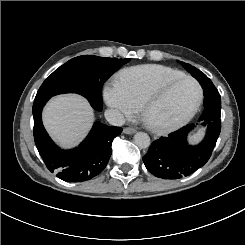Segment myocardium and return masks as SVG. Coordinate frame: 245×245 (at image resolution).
I'll return each instance as SVG.
<instances>
[{
    "label": "myocardium",
    "mask_w": 245,
    "mask_h": 245,
    "mask_svg": "<svg viewBox=\"0 0 245 245\" xmlns=\"http://www.w3.org/2000/svg\"><path fill=\"white\" fill-rule=\"evenodd\" d=\"M183 80L191 82L196 87L197 94L193 106L189 109V111L186 114H184L180 118L160 120V121L153 120L150 115L151 114L150 99L152 95L164 86H169L178 81H183ZM202 98H203V90L199 82L193 77L187 75H181L178 77L158 79L152 82L143 92L139 101V108L142 114L143 121L145 122L147 127L157 132H164V131H170L179 128L184 124H186L198 110L202 102Z\"/></svg>",
    "instance_id": "obj_1"
}]
</instances>
